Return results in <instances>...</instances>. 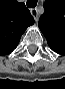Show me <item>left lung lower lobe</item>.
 <instances>
[{"mask_svg":"<svg viewBox=\"0 0 65 89\" xmlns=\"http://www.w3.org/2000/svg\"><path fill=\"white\" fill-rule=\"evenodd\" d=\"M54 52L65 55V48L64 47H59V46H49Z\"/></svg>","mask_w":65,"mask_h":89,"instance_id":"0a47b994","label":"left lung lower lobe"}]
</instances>
